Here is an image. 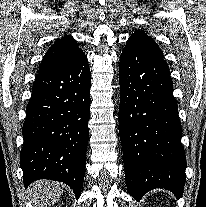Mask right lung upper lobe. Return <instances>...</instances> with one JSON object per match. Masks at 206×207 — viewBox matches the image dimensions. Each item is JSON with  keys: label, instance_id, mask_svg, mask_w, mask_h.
<instances>
[{"label": "right lung upper lobe", "instance_id": "cb5924a9", "mask_svg": "<svg viewBox=\"0 0 206 207\" xmlns=\"http://www.w3.org/2000/svg\"><path fill=\"white\" fill-rule=\"evenodd\" d=\"M84 55L71 36L62 37L44 55L38 74L61 69Z\"/></svg>", "mask_w": 206, "mask_h": 207}]
</instances>
